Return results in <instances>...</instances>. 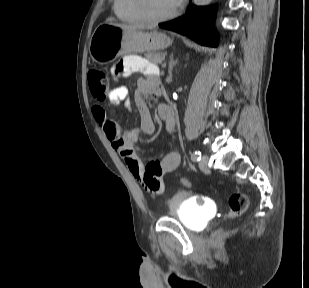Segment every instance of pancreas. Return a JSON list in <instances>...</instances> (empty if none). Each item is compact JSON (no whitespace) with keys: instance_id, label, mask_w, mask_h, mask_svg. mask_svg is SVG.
<instances>
[{"instance_id":"obj_1","label":"pancreas","mask_w":309,"mask_h":288,"mask_svg":"<svg viewBox=\"0 0 309 288\" xmlns=\"http://www.w3.org/2000/svg\"><path fill=\"white\" fill-rule=\"evenodd\" d=\"M146 59L154 64H160L165 57L164 53H150L145 55Z\"/></svg>"}]
</instances>
